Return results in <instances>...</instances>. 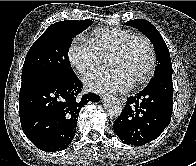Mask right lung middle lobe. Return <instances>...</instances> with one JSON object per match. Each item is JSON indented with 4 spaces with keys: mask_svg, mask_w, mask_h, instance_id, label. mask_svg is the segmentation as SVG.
Wrapping results in <instances>:
<instances>
[{
    "mask_svg": "<svg viewBox=\"0 0 196 166\" xmlns=\"http://www.w3.org/2000/svg\"><path fill=\"white\" fill-rule=\"evenodd\" d=\"M93 21L65 20L50 25L29 49L21 78L49 75L71 80L74 74L67 51L72 38L87 29Z\"/></svg>",
    "mask_w": 196,
    "mask_h": 166,
    "instance_id": "obj_1",
    "label": "right lung middle lobe"
}]
</instances>
